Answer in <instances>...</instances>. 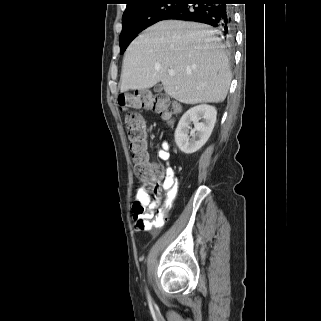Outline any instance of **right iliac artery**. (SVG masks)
Masks as SVG:
<instances>
[{
    "instance_id": "1",
    "label": "right iliac artery",
    "mask_w": 321,
    "mask_h": 321,
    "mask_svg": "<svg viewBox=\"0 0 321 321\" xmlns=\"http://www.w3.org/2000/svg\"><path fill=\"white\" fill-rule=\"evenodd\" d=\"M147 294H148V299L150 300V295H149L148 291H147Z\"/></svg>"
}]
</instances>
